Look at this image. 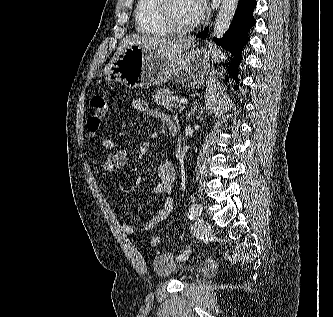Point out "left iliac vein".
Returning a JSON list of instances; mask_svg holds the SVG:
<instances>
[{"instance_id":"left-iliac-vein-1","label":"left iliac vein","mask_w":333,"mask_h":317,"mask_svg":"<svg viewBox=\"0 0 333 317\" xmlns=\"http://www.w3.org/2000/svg\"><path fill=\"white\" fill-rule=\"evenodd\" d=\"M196 224L201 234H207L210 231L209 223L203 218H198Z\"/></svg>"}]
</instances>
